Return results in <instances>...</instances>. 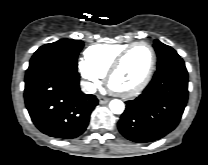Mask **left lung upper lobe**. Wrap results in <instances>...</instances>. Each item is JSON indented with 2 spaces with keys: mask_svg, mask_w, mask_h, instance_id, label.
I'll list each match as a JSON object with an SVG mask.
<instances>
[{
  "mask_svg": "<svg viewBox=\"0 0 208 165\" xmlns=\"http://www.w3.org/2000/svg\"><path fill=\"white\" fill-rule=\"evenodd\" d=\"M153 47L155 48L158 56V67L172 59L180 57L173 48L161 43L157 39L154 41Z\"/></svg>",
  "mask_w": 208,
  "mask_h": 165,
  "instance_id": "1",
  "label": "left lung upper lobe"
}]
</instances>
